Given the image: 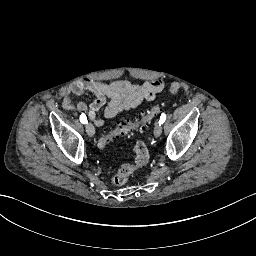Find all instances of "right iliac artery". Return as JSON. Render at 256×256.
Masks as SVG:
<instances>
[{"instance_id":"1","label":"right iliac artery","mask_w":256,"mask_h":256,"mask_svg":"<svg viewBox=\"0 0 256 256\" xmlns=\"http://www.w3.org/2000/svg\"><path fill=\"white\" fill-rule=\"evenodd\" d=\"M80 121H81V123H83V124H87V117H86V115L84 114V113H82L81 115H80Z\"/></svg>"}]
</instances>
